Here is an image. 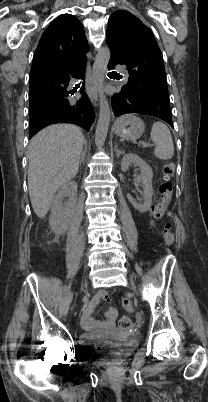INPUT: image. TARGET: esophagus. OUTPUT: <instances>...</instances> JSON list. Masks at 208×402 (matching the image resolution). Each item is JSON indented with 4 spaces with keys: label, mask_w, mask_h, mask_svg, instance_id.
<instances>
[{
    "label": "esophagus",
    "mask_w": 208,
    "mask_h": 402,
    "mask_svg": "<svg viewBox=\"0 0 208 402\" xmlns=\"http://www.w3.org/2000/svg\"><path fill=\"white\" fill-rule=\"evenodd\" d=\"M86 91H87V95L90 98L91 102L93 104H96L97 100H98V96H97L96 86H95V83L93 80V72H92L90 65H88V67H87Z\"/></svg>",
    "instance_id": "esophagus-1"
}]
</instances>
